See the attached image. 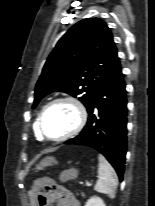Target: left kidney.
<instances>
[{
  "label": "left kidney",
  "mask_w": 155,
  "mask_h": 206,
  "mask_svg": "<svg viewBox=\"0 0 155 206\" xmlns=\"http://www.w3.org/2000/svg\"><path fill=\"white\" fill-rule=\"evenodd\" d=\"M85 206H106V205L100 197L94 196L88 199Z\"/></svg>",
  "instance_id": "obj_1"
}]
</instances>
